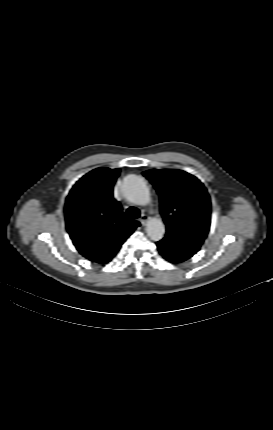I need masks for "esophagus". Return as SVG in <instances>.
<instances>
[{"instance_id": "esophagus-1", "label": "esophagus", "mask_w": 273, "mask_h": 430, "mask_svg": "<svg viewBox=\"0 0 273 430\" xmlns=\"http://www.w3.org/2000/svg\"><path fill=\"white\" fill-rule=\"evenodd\" d=\"M139 220H140L142 225H146V223L148 221V216L145 214H142Z\"/></svg>"}]
</instances>
